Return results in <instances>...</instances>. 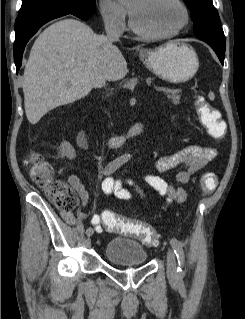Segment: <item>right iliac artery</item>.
I'll use <instances>...</instances> for the list:
<instances>
[{"label": "right iliac artery", "mask_w": 245, "mask_h": 319, "mask_svg": "<svg viewBox=\"0 0 245 319\" xmlns=\"http://www.w3.org/2000/svg\"><path fill=\"white\" fill-rule=\"evenodd\" d=\"M128 161V157L126 156H121L116 158L115 160L111 161L104 169V175H110L111 173L115 172L120 166L125 164ZM104 183V182H103ZM103 183H102V188H103ZM104 189V188H103ZM86 234L88 236L93 234V229L89 227L86 230Z\"/></svg>", "instance_id": "right-iliac-artery-1"}]
</instances>
